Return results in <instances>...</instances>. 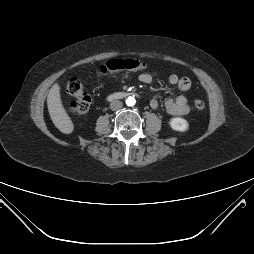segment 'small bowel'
<instances>
[{"instance_id":"obj_1","label":"small bowel","mask_w":254,"mask_h":254,"mask_svg":"<svg viewBox=\"0 0 254 254\" xmlns=\"http://www.w3.org/2000/svg\"><path fill=\"white\" fill-rule=\"evenodd\" d=\"M154 76V73L145 71L139 75V80L142 83L148 84L152 82ZM168 81L170 84L177 86L182 92L188 91L191 87V80L188 77H180L176 74H171L168 77ZM150 106L153 109L158 108L159 101L157 97H153L150 100ZM165 108L167 112L172 115H186L190 111L188 100L184 94H179L175 98L168 97L165 100Z\"/></svg>"}]
</instances>
